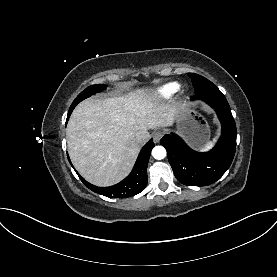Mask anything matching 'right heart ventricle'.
<instances>
[{"label": "right heart ventricle", "mask_w": 277, "mask_h": 277, "mask_svg": "<svg viewBox=\"0 0 277 277\" xmlns=\"http://www.w3.org/2000/svg\"><path fill=\"white\" fill-rule=\"evenodd\" d=\"M178 89L177 83H168L157 89L156 95L161 98H168L173 95Z\"/></svg>", "instance_id": "e07e8e85"}]
</instances>
